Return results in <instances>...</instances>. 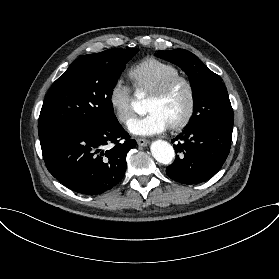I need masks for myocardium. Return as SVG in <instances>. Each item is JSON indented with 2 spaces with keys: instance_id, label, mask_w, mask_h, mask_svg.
Listing matches in <instances>:
<instances>
[{
  "instance_id": "myocardium-1",
  "label": "myocardium",
  "mask_w": 279,
  "mask_h": 279,
  "mask_svg": "<svg viewBox=\"0 0 279 279\" xmlns=\"http://www.w3.org/2000/svg\"><path fill=\"white\" fill-rule=\"evenodd\" d=\"M180 83L186 85L189 99L187 111L184 117L180 121L170 125V128L176 131L185 128L190 123L195 113L196 90L192 80L185 75L173 76L164 81L154 92L150 94V97L153 99H161Z\"/></svg>"
}]
</instances>
